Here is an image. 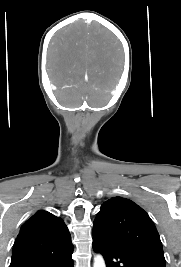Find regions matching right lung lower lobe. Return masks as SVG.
<instances>
[{"mask_svg": "<svg viewBox=\"0 0 181 267\" xmlns=\"http://www.w3.org/2000/svg\"><path fill=\"white\" fill-rule=\"evenodd\" d=\"M73 249L43 258H24L11 261L10 267H74Z\"/></svg>", "mask_w": 181, "mask_h": 267, "instance_id": "obj_1", "label": "right lung lower lobe"}]
</instances>
